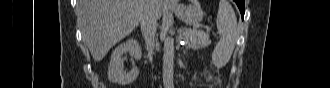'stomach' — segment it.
I'll list each match as a JSON object with an SVG mask.
<instances>
[{"label":"stomach","instance_id":"stomach-1","mask_svg":"<svg viewBox=\"0 0 330 88\" xmlns=\"http://www.w3.org/2000/svg\"><path fill=\"white\" fill-rule=\"evenodd\" d=\"M171 10L178 19L187 25H197L203 19V11L197 1H193L189 5L179 4Z\"/></svg>","mask_w":330,"mask_h":88}]
</instances>
